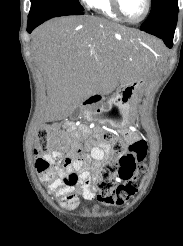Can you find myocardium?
<instances>
[{
    "label": "myocardium",
    "mask_w": 183,
    "mask_h": 246,
    "mask_svg": "<svg viewBox=\"0 0 183 246\" xmlns=\"http://www.w3.org/2000/svg\"><path fill=\"white\" fill-rule=\"evenodd\" d=\"M112 6L115 10V12L126 22L131 23V24H137L142 22L149 14L151 10V0H145V11L142 14L141 17L138 19H130L128 18L125 13L123 12L122 5H121V0H111Z\"/></svg>",
    "instance_id": "myocardium-1"
}]
</instances>
